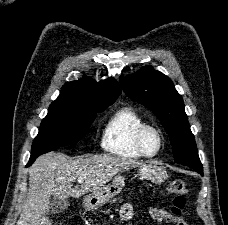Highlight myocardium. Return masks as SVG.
<instances>
[{
  "label": "myocardium",
  "instance_id": "f54148a6",
  "mask_svg": "<svg viewBox=\"0 0 228 225\" xmlns=\"http://www.w3.org/2000/svg\"><path fill=\"white\" fill-rule=\"evenodd\" d=\"M150 133H155L158 136V140H159L158 148L153 153H150L147 150V146H146V140ZM136 141H137V146H138L139 150L144 154V156L155 157L161 153V151L164 147L165 138H164V134L160 128H158L155 125L147 124V125L143 126L140 129V131L138 132Z\"/></svg>",
  "mask_w": 228,
  "mask_h": 225
}]
</instances>
